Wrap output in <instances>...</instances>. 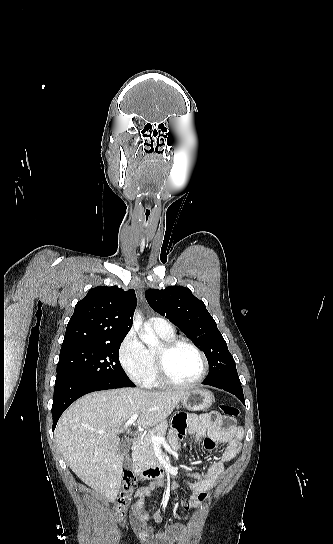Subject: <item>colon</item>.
<instances>
[{
    "instance_id": "5ec220e1",
    "label": "colon",
    "mask_w": 333,
    "mask_h": 544,
    "mask_svg": "<svg viewBox=\"0 0 333 544\" xmlns=\"http://www.w3.org/2000/svg\"><path fill=\"white\" fill-rule=\"evenodd\" d=\"M220 409L224 416L229 419H234L239 415L238 408L233 405H222ZM137 486L138 480L130 473H126L114 506L116 516L122 524H125L127 509Z\"/></svg>"
}]
</instances>
